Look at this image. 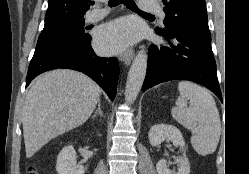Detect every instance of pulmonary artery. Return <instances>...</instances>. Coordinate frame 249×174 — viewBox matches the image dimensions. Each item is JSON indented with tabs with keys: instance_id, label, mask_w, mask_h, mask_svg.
<instances>
[{
	"instance_id": "pulmonary-artery-1",
	"label": "pulmonary artery",
	"mask_w": 249,
	"mask_h": 174,
	"mask_svg": "<svg viewBox=\"0 0 249 174\" xmlns=\"http://www.w3.org/2000/svg\"><path fill=\"white\" fill-rule=\"evenodd\" d=\"M141 4L142 11L150 14H156L161 19L165 18V12L162 10L161 6L155 0H139ZM108 15L107 8H98L92 11L88 17V22H98Z\"/></svg>"
}]
</instances>
